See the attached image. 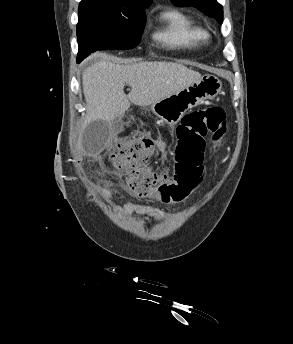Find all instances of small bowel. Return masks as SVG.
<instances>
[{
	"instance_id": "1",
	"label": "small bowel",
	"mask_w": 293,
	"mask_h": 344,
	"mask_svg": "<svg viewBox=\"0 0 293 344\" xmlns=\"http://www.w3.org/2000/svg\"><path fill=\"white\" fill-rule=\"evenodd\" d=\"M154 147L160 151V152H165V143L157 138L154 139ZM197 174L198 177H200V181L202 180V176H203V166H201L198 170H197ZM122 212L124 214H140V215H144L153 219H158L160 217H162V214L159 211H156L154 208L145 205V204H139V203H127L123 206L122 208Z\"/></svg>"
}]
</instances>
